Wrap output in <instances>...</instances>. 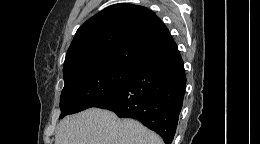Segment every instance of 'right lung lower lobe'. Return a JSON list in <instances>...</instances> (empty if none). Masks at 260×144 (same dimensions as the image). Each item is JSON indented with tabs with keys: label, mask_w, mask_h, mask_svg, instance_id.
I'll list each match as a JSON object with an SVG mask.
<instances>
[{
	"label": "right lung lower lobe",
	"mask_w": 260,
	"mask_h": 144,
	"mask_svg": "<svg viewBox=\"0 0 260 144\" xmlns=\"http://www.w3.org/2000/svg\"><path fill=\"white\" fill-rule=\"evenodd\" d=\"M185 87L184 64L176 49L136 67L116 92L94 107L137 119L171 144Z\"/></svg>",
	"instance_id": "98d812e1"
}]
</instances>
